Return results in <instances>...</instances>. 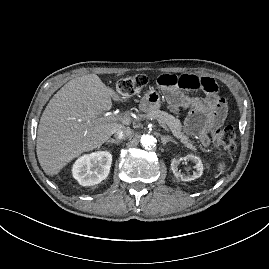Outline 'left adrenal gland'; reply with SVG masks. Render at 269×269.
I'll return each instance as SVG.
<instances>
[{"label": "left adrenal gland", "instance_id": "left-adrenal-gland-1", "mask_svg": "<svg viewBox=\"0 0 269 269\" xmlns=\"http://www.w3.org/2000/svg\"><path fill=\"white\" fill-rule=\"evenodd\" d=\"M161 142H162L163 146H165L167 142H173L174 144H177V142L174 139H172V137L163 136V135H161Z\"/></svg>", "mask_w": 269, "mask_h": 269}]
</instances>
